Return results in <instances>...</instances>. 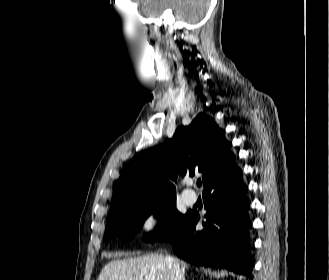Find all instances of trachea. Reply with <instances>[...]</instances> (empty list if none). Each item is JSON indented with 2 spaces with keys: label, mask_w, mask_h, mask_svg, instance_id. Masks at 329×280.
<instances>
[{
  "label": "trachea",
  "mask_w": 329,
  "mask_h": 280,
  "mask_svg": "<svg viewBox=\"0 0 329 280\" xmlns=\"http://www.w3.org/2000/svg\"><path fill=\"white\" fill-rule=\"evenodd\" d=\"M197 186H199V187L201 186V180L200 179L197 180Z\"/></svg>",
  "instance_id": "3493384b"
}]
</instances>
